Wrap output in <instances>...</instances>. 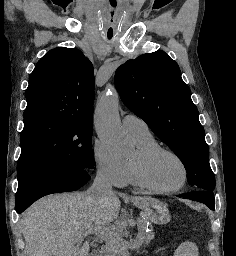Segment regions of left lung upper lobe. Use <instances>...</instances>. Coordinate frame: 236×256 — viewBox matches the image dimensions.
I'll list each match as a JSON object with an SVG mask.
<instances>
[{"label":"left lung upper lobe","instance_id":"5c2ea615","mask_svg":"<svg viewBox=\"0 0 236 256\" xmlns=\"http://www.w3.org/2000/svg\"><path fill=\"white\" fill-rule=\"evenodd\" d=\"M115 85L123 103L180 158L189 184L212 191L205 132L177 63L163 51L143 54L117 69Z\"/></svg>","mask_w":236,"mask_h":256}]
</instances>
